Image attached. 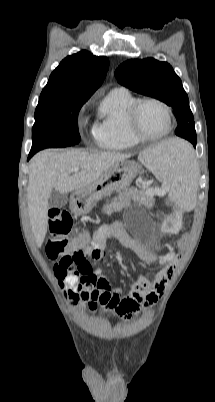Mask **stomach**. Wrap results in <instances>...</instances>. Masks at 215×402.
Returning <instances> with one entry per match:
<instances>
[{"mask_svg": "<svg viewBox=\"0 0 215 402\" xmlns=\"http://www.w3.org/2000/svg\"><path fill=\"white\" fill-rule=\"evenodd\" d=\"M141 171V165L130 160H124L113 165L94 183L73 193L74 211L77 214L89 213L97 200L114 191L127 188Z\"/></svg>", "mask_w": 215, "mask_h": 402, "instance_id": "1", "label": "stomach"}]
</instances>
